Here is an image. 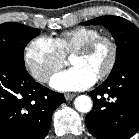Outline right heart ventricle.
<instances>
[{"label": "right heart ventricle", "mask_w": 139, "mask_h": 139, "mask_svg": "<svg viewBox=\"0 0 139 139\" xmlns=\"http://www.w3.org/2000/svg\"><path fill=\"white\" fill-rule=\"evenodd\" d=\"M101 35V31L92 27H76L61 33L52 39L60 52L65 56L73 53L78 47Z\"/></svg>", "instance_id": "1"}]
</instances>
